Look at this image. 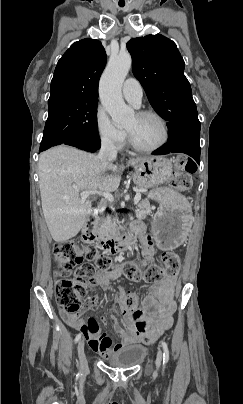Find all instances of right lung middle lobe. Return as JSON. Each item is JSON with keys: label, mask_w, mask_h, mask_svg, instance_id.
Here are the masks:
<instances>
[{"label": "right lung middle lobe", "mask_w": 243, "mask_h": 404, "mask_svg": "<svg viewBox=\"0 0 243 404\" xmlns=\"http://www.w3.org/2000/svg\"><path fill=\"white\" fill-rule=\"evenodd\" d=\"M98 101H68L49 106L40 151L81 137L100 140L97 129Z\"/></svg>", "instance_id": "dd1d6c3e"}]
</instances>
